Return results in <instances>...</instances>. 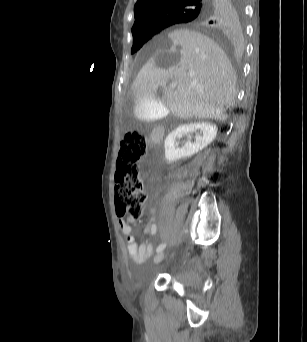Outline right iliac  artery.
<instances>
[{
  "label": "right iliac artery",
  "mask_w": 307,
  "mask_h": 342,
  "mask_svg": "<svg viewBox=\"0 0 307 342\" xmlns=\"http://www.w3.org/2000/svg\"><path fill=\"white\" fill-rule=\"evenodd\" d=\"M165 247H166V244H165V243L160 244V245L157 247L156 252H161Z\"/></svg>",
  "instance_id": "obj_1"
}]
</instances>
